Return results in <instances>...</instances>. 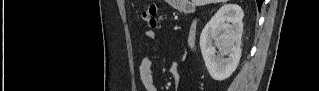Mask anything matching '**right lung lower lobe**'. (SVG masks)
Instances as JSON below:
<instances>
[{
  "mask_svg": "<svg viewBox=\"0 0 319 91\" xmlns=\"http://www.w3.org/2000/svg\"><path fill=\"white\" fill-rule=\"evenodd\" d=\"M262 3H263V0H257V5L259 9L261 8Z\"/></svg>",
  "mask_w": 319,
  "mask_h": 91,
  "instance_id": "98d812e1",
  "label": "right lung lower lobe"
}]
</instances>
